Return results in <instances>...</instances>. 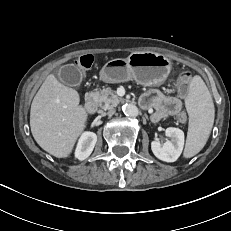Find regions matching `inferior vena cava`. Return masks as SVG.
I'll list each match as a JSON object with an SVG mask.
<instances>
[{
	"instance_id": "obj_1",
	"label": "inferior vena cava",
	"mask_w": 231,
	"mask_h": 231,
	"mask_svg": "<svg viewBox=\"0 0 231 231\" xmlns=\"http://www.w3.org/2000/svg\"><path fill=\"white\" fill-rule=\"evenodd\" d=\"M114 113H115V109H110L107 114L108 116H112Z\"/></svg>"
}]
</instances>
